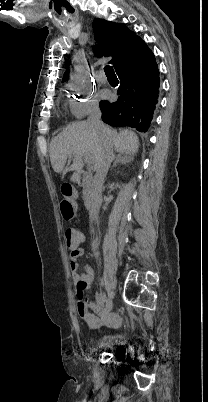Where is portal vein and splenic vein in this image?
<instances>
[{"instance_id":"18ae733b","label":"portal vein and splenic vein","mask_w":208,"mask_h":402,"mask_svg":"<svg viewBox=\"0 0 208 402\" xmlns=\"http://www.w3.org/2000/svg\"><path fill=\"white\" fill-rule=\"evenodd\" d=\"M84 156L87 164L90 166V164H92V156H90V154H84Z\"/></svg>"}]
</instances>
